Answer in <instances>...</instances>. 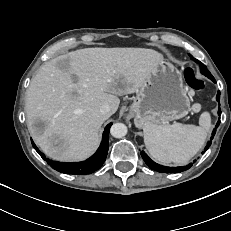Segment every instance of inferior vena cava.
<instances>
[{
  "mask_svg": "<svg viewBox=\"0 0 231 231\" xmlns=\"http://www.w3.org/2000/svg\"><path fill=\"white\" fill-rule=\"evenodd\" d=\"M99 111L105 118H109L112 115L111 108L107 104L102 105Z\"/></svg>",
  "mask_w": 231,
  "mask_h": 231,
  "instance_id": "obj_1",
  "label": "inferior vena cava"
}]
</instances>
